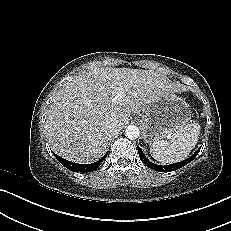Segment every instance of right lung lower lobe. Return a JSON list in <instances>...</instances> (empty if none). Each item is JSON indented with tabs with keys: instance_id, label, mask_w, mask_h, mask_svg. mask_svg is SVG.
<instances>
[{
	"instance_id": "right-lung-lower-lobe-1",
	"label": "right lung lower lobe",
	"mask_w": 231,
	"mask_h": 231,
	"mask_svg": "<svg viewBox=\"0 0 231 231\" xmlns=\"http://www.w3.org/2000/svg\"><path fill=\"white\" fill-rule=\"evenodd\" d=\"M57 158V160L64 165L66 168H68L71 171H75V172H90L95 170L96 168H98L100 166V163L106 158L107 154L101 158L99 161H97L96 163H92V164H79V163H74L68 160H65L63 158H61L60 156L54 154Z\"/></svg>"
}]
</instances>
